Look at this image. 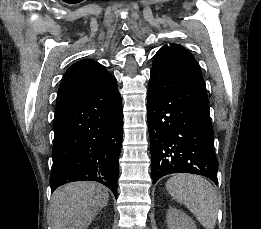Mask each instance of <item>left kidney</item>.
Listing matches in <instances>:
<instances>
[{"label":"left kidney","mask_w":261,"mask_h":229,"mask_svg":"<svg viewBox=\"0 0 261 229\" xmlns=\"http://www.w3.org/2000/svg\"><path fill=\"white\" fill-rule=\"evenodd\" d=\"M166 223L168 229H197L194 221L188 215L173 207H169L167 211Z\"/></svg>","instance_id":"1"}]
</instances>
